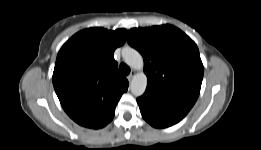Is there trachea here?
I'll return each mask as SVG.
<instances>
[{
  "instance_id": "trachea-1",
  "label": "trachea",
  "mask_w": 261,
  "mask_h": 150,
  "mask_svg": "<svg viewBox=\"0 0 261 150\" xmlns=\"http://www.w3.org/2000/svg\"><path fill=\"white\" fill-rule=\"evenodd\" d=\"M119 69L123 75H128L130 73V68L125 63H121Z\"/></svg>"
}]
</instances>
